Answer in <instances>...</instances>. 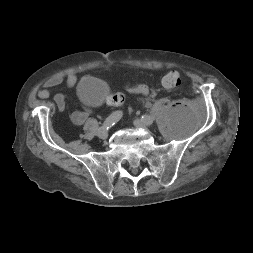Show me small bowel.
<instances>
[{"label":"small bowel","mask_w":253,"mask_h":253,"mask_svg":"<svg viewBox=\"0 0 253 253\" xmlns=\"http://www.w3.org/2000/svg\"><path fill=\"white\" fill-rule=\"evenodd\" d=\"M77 77L75 74L70 73L66 76H53L49 78L45 83L43 88L38 92V96L42 99L48 98L52 88L65 83L68 87H72L76 84ZM54 102L59 111L65 108V98L62 94H57L54 97ZM90 111L87 108L83 110L75 111L71 118L76 125H82L88 118Z\"/></svg>","instance_id":"c3829d8e"}]
</instances>
